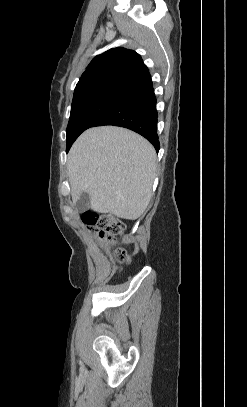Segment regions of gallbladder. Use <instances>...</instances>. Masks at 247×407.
I'll return each mask as SVG.
<instances>
[{
	"label": "gallbladder",
	"mask_w": 247,
	"mask_h": 407,
	"mask_svg": "<svg viewBox=\"0 0 247 407\" xmlns=\"http://www.w3.org/2000/svg\"><path fill=\"white\" fill-rule=\"evenodd\" d=\"M90 206V196L87 192H83L76 203V208L79 211H85Z\"/></svg>",
	"instance_id": "bac80fb5"
}]
</instances>
